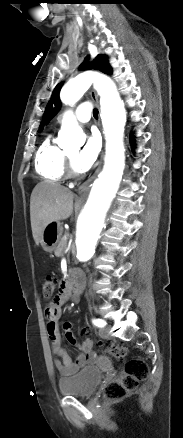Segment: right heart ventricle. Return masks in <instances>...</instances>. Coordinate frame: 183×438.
Listing matches in <instances>:
<instances>
[{"mask_svg":"<svg viewBox=\"0 0 183 438\" xmlns=\"http://www.w3.org/2000/svg\"><path fill=\"white\" fill-rule=\"evenodd\" d=\"M35 166L37 173L47 181L60 182L66 173V155L50 138L39 147Z\"/></svg>","mask_w":183,"mask_h":438,"instance_id":"e07e8e85","label":"right heart ventricle"}]
</instances>
